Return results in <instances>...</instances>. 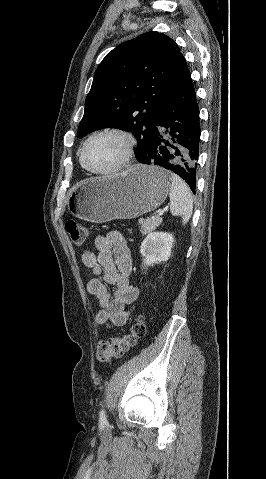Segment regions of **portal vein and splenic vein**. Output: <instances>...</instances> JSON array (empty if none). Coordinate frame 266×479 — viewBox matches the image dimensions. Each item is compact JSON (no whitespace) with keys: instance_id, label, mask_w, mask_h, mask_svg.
<instances>
[{"instance_id":"portal-vein-and-splenic-vein-1","label":"portal vein and splenic vein","mask_w":266,"mask_h":479,"mask_svg":"<svg viewBox=\"0 0 266 479\" xmlns=\"http://www.w3.org/2000/svg\"><path fill=\"white\" fill-rule=\"evenodd\" d=\"M163 214H164V210H160V211L158 212V216H162Z\"/></svg>"}]
</instances>
